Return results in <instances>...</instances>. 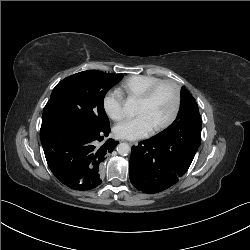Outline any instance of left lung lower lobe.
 <instances>
[{
  "instance_id": "1",
  "label": "left lung lower lobe",
  "mask_w": 250,
  "mask_h": 250,
  "mask_svg": "<svg viewBox=\"0 0 250 250\" xmlns=\"http://www.w3.org/2000/svg\"><path fill=\"white\" fill-rule=\"evenodd\" d=\"M202 120H180L166 131L133 146L130 181L144 193L174 185L188 170L201 142Z\"/></svg>"
}]
</instances>
